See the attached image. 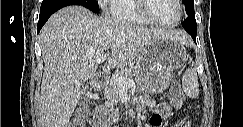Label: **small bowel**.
<instances>
[{"mask_svg": "<svg viewBox=\"0 0 243 127\" xmlns=\"http://www.w3.org/2000/svg\"><path fill=\"white\" fill-rule=\"evenodd\" d=\"M155 113L150 119V126H162L172 116L173 109L181 110L184 108V98L171 97L170 102H162L154 104ZM184 127H190L191 122L186 120L183 123ZM94 127H100L94 125Z\"/></svg>", "mask_w": 243, "mask_h": 127, "instance_id": "1", "label": "small bowel"}]
</instances>
